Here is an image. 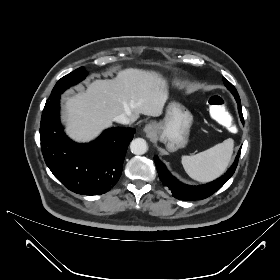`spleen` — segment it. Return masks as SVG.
Returning <instances> with one entry per match:
<instances>
[{
	"mask_svg": "<svg viewBox=\"0 0 280 280\" xmlns=\"http://www.w3.org/2000/svg\"><path fill=\"white\" fill-rule=\"evenodd\" d=\"M233 147V139L228 138L222 143L195 155H183L181 162L186 173L192 179L199 182L211 181L227 169L232 157Z\"/></svg>",
	"mask_w": 280,
	"mask_h": 280,
	"instance_id": "3e777b00",
	"label": "spleen"
}]
</instances>
